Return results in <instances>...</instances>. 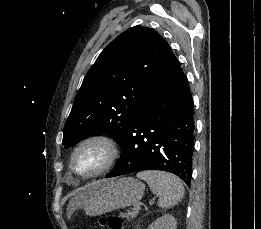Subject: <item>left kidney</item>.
<instances>
[{
    "label": "left kidney",
    "mask_w": 261,
    "mask_h": 229,
    "mask_svg": "<svg viewBox=\"0 0 261 229\" xmlns=\"http://www.w3.org/2000/svg\"><path fill=\"white\" fill-rule=\"evenodd\" d=\"M148 229H177V221L172 215H163L151 223Z\"/></svg>",
    "instance_id": "5707ae66"
}]
</instances>
